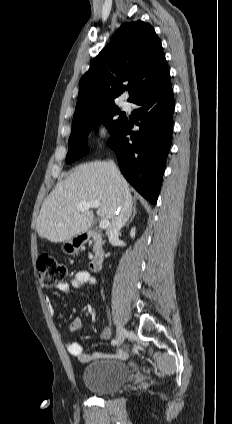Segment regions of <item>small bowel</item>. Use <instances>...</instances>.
<instances>
[{
	"label": "small bowel",
	"mask_w": 232,
	"mask_h": 424,
	"mask_svg": "<svg viewBox=\"0 0 232 424\" xmlns=\"http://www.w3.org/2000/svg\"><path fill=\"white\" fill-rule=\"evenodd\" d=\"M84 285L94 286L96 285V279L86 270L77 271L71 281L61 282L56 285V289L64 294H69L72 288H80ZM44 302L49 311L55 313L53 302L49 296L44 297ZM82 328V320L79 317H75L71 320L69 324V330L72 333H78ZM101 339L109 340L112 337V330L109 327L102 329L100 334ZM68 353L77 358L82 363L90 362L93 359L104 357L105 354L101 352L87 353L84 351V348L81 343L77 341L68 342L67 345ZM126 352L124 350H119L116 353V357L124 358Z\"/></svg>",
	"instance_id": "obj_1"
}]
</instances>
